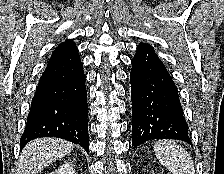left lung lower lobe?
<instances>
[{
  "mask_svg": "<svg viewBox=\"0 0 224 174\" xmlns=\"http://www.w3.org/2000/svg\"><path fill=\"white\" fill-rule=\"evenodd\" d=\"M130 83L132 146L154 139H177L192 145L177 87L149 44L137 46Z\"/></svg>",
  "mask_w": 224,
  "mask_h": 174,
  "instance_id": "left-lung-lower-lobe-1",
  "label": "left lung lower lobe"
}]
</instances>
